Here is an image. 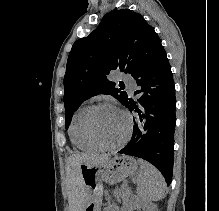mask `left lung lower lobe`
<instances>
[{
  "label": "left lung lower lobe",
  "mask_w": 219,
  "mask_h": 211,
  "mask_svg": "<svg viewBox=\"0 0 219 211\" xmlns=\"http://www.w3.org/2000/svg\"><path fill=\"white\" fill-rule=\"evenodd\" d=\"M137 102L127 97L123 104L138 113L130 142L119 153L143 158L163 174L169 184L173 175L175 85L165 50L143 71L133 76Z\"/></svg>",
  "instance_id": "0a47b994"
}]
</instances>
